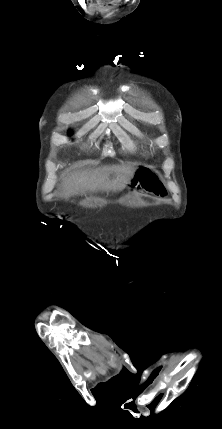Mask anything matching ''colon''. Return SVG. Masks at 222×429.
I'll list each match as a JSON object with an SVG mask.
<instances>
[{
  "label": "colon",
  "mask_w": 222,
  "mask_h": 429,
  "mask_svg": "<svg viewBox=\"0 0 222 429\" xmlns=\"http://www.w3.org/2000/svg\"><path fill=\"white\" fill-rule=\"evenodd\" d=\"M133 185L136 189L144 192H150L158 196L165 195V188L158 175L148 167H140L133 179Z\"/></svg>",
  "instance_id": "obj_1"
}]
</instances>
